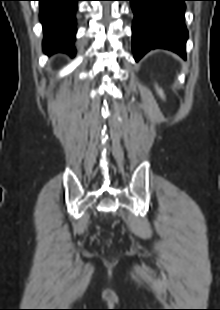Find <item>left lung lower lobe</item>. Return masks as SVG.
Returning a JSON list of instances; mask_svg holds the SVG:
<instances>
[{
	"label": "left lung lower lobe",
	"mask_w": 220,
	"mask_h": 310,
	"mask_svg": "<svg viewBox=\"0 0 220 310\" xmlns=\"http://www.w3.org/2000/svg\"><path fill=\"white\" fill-rule=\"evenodd\" d=\"M134 13L132 49L136 61L156 48L171 50L186 58L188 32L185 26V1L128 0Z\"/></svg>",
	"instance_id": "obj_1"
}]
</instances>
